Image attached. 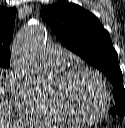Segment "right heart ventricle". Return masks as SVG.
<instances>
[{
    "mask_svg": "<svg viewBox=\"0 0 125 128\" xmlns=\"http://www.w3.org/2000/svg\"><path fill=\"white\" fill-rule=\"evenodd\" d=\"M37 118L50 122L67 123L69 122L59 111L55 108L50 95H43L41 102L34 111Z\"/></svg>",
    "mask_w": 125,
    "mask_h": 128,
    "instance_id": "right-heart-ventricle-1",
    "label": "right heart ventricle"
}]
</instances>
